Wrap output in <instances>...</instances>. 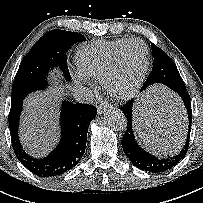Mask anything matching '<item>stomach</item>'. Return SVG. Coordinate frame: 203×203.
<instances>
[{
    "label": "stomach",
    "instance_id": "1",
    "mask_svg": "<svg viewBox=\"0 0 203 203\" xmlns=\"http://www.w3.org/2000/svg\"><path fill=\"white\" fill-rule=\"evenodd\" d=\"M150 102H152V100L150 99V97L147 95L146 98L142 99V104H140V106L142 108H147L149 109V105H150ZM155 108H156V105L154 104Z\"/></svg>",
    "mask_w": 203,
    "mask_h": 203
}]
</instances>
